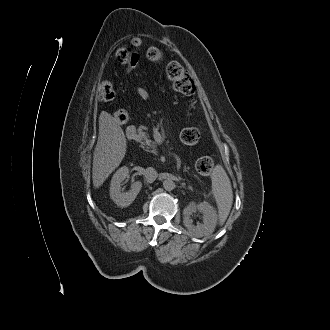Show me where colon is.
Returning <instances> with one entry per match:
<instances>
[{
    "label": "colon",
    "instance_id": "1",
    "mask_svg": "<svg viewBox=\"0 0 330 330\" xmlns=\"http://www.w3.org/2000/svg\"><path fill=\"white\" fill-rule=\"evenodd\" d=\"M129 48H123L118 52V59L121 62L128 61L132 56ZM146 60L153 65L160 64L163 60V52L156 46H151L146 51ZM166 76L172 83L173 89L184 95H191L195 91V83L191 74L178 62H170L166 66ZM102 101H110L114 97V89L108 82L102 83L98 90ZM117 121L124 122L128 119L125 110H117L114 113ZM181 140L186 145H194L200 139V132L196 128H186L181 132ZM196 170L202 175H209L214 168V161L209 156H203L197 159L195 163Z\"/></svg>",
    "mask_w": 330,
    "mask_h": 330
}]
</instances>
